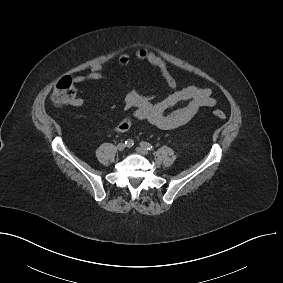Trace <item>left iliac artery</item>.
Returning <instances> with one entry per match:
<instances>
[{
    "label": "left iliac artery",
    "mask_w": 283,
    "mask_h": 283,
    "mask_svg": "<svg viewBox=\"0 0 283 283\" xmlns=\"http://www.w3.org/2000/svg\"><path fill=\"white\" fill-rule=\"evenodd\" d=\"M140 145H141V147H143V148H145L147 150H153L154 149V147L151 144H149L147 142H144V141H142L140 143Z\"/></svg>",
    "instance_id": "1"
}]
</instances>
